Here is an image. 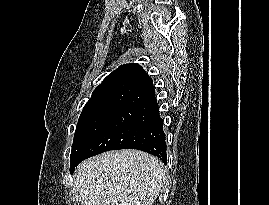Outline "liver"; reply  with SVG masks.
I'll return each instance as SVG.
<instances>
[{
  "instance_id": "liver-1",
  "label": "liver",
  "mask_w": 269,
  "mask_h": 205,
  "mask_svg": "<svg viewBox=\"0 0 269 205\" xmlns=\"http://www.w3.org/2000/svg\"><path fill=\"white\" fill-rule=\"evenodd\" d=\"M75 177L82 205H152L165 180L156 157L133 149L92 157Z\"/></svg>"
}]
</instances>
